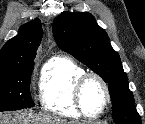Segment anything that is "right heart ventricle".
<instances>
[{"instance_id":"obj_1","label":"right heart ventricle","mask_w":145,"mask_h":124,"mask_svg":"<svg viewBox=\"0 0 145 124\" xmlns=\"http://www.w3.org/2000/svg\"><path fill=\"white\" fill-rule=\"evenodd\" d=\"M86 73L84 68L66 57H54L44 66L40 78L39 99L42 107L57 116L79 118L74 103V85Z\"/></svg>"}]
</instances>
